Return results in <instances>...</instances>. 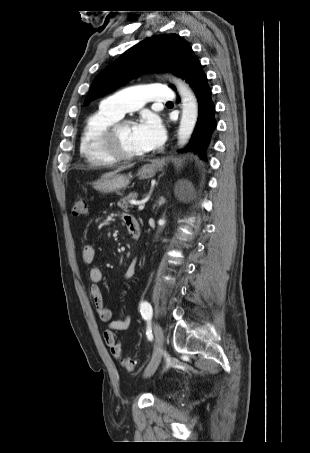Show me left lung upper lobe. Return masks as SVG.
<instances>
[{"label":"left lung upper lobe","mask_w":310,"mask_h":453,"mask_svg":"<svg viewBox=\"0 0 310 453\" xmlns=\"http://www.w3.org/2000/svg\"><path fill=\"white\" fill-rule=\"evenodd\" d=\"M192 54L189 44L176 34L146 39L96 76L84 103L112 92L133 77L148 71H171L181 76Z\"/></svg>","instance_id":"left-lung-upper-lobe-1"}]
</instances>
